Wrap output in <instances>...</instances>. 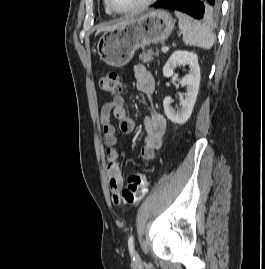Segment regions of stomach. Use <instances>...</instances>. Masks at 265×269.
<instances>
[{
    "label": "stomach",
    "mask_w": 265,
    "mask_h": 269,
    "mask_svg": "<svg viewBox=\"0 0 265 269\" xmlns=\"http://www.w3.org/2000/svg\"><path fill=\"white\" fill-rule=\"evenodd\" d=\"M175 21L168 11L152 10L132 18L125 25L105 31L97 43L102 61L113 67L126 65L139 48L165 41Z\"/></svg>",
    "instance_id": "0dacf381"
}]
</instances>
